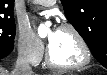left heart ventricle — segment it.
I'll use <instances>...</instances> for the list:
<instances>
[{"mask_svg": "<svg viewBox=\"0 0 107 75\" xmlns=\"http://www.w3.org/2000/svg\"><path fill=\"white\" fill-rule=\"evenodd\" d=\"M49 48L53 60L61 65H74L83 59L82 48L69 31L58 30Z\"/></svg>", "mask_w": 107, "mask_h": 75, "instance_id": "left-heart-ventricle-1", "label": "left heart ventricle"}]
</instances>
